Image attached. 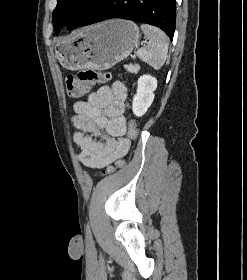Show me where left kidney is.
<instances>
[{
	"mask_svg": "<svg viewBox=\"0 0 247 280\" xmlns=\"http://www.w3.org/2000/svg\"><path fill=\"white\" fill-rule=\"evenodd\" d=\"M137 84V93L133 98L132 111L136 116L141 117L147 112L154 100L153 92L157 88V80L151 75H143L138 79Z\"/></svg>",
	"mask_w": 247,
	"mask_h": 280,
	"instance_id": "5707ae66",
	"label": "left kidney"
}]
</instances>
